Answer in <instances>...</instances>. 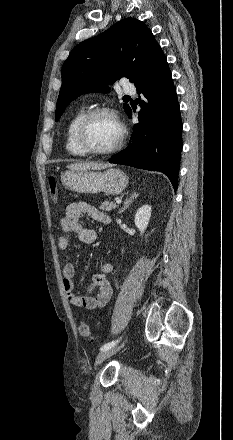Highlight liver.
Listing matches in <instances>:
<instances>
[{"label":"liver","instance_id":"obj_1","mask_svg":"<svg viewBox=\"0 0 233 440\" xmlns=\"http://www.w3.org/2000/svg\"><path fill=\"white\" fill-rule=\"evenodd\" d=\"M110 164H103V163H93V162H79V163H72L67 166L69 170H101L105 169L107 167H110Z\"/></svg>","mask_w":233,"mask_h":440}]
</instances>
